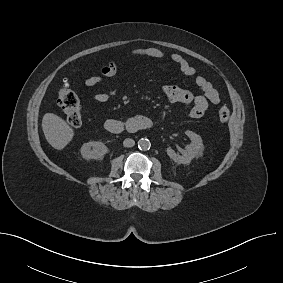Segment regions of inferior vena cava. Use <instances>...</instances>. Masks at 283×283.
I'll return each instance as SVG.
<instances>
[{"label": "inferior vena cava", "mask_w": 283, "mask_h": 283, "mask_svg": "<svg viewBox=\"0 0 283 283\" xmlns=\"http://www.w3.org/2000/svg\"><path fill=\"white\" fill-rule=\"evenodd\" d=\"M135 145V141L131 138H126L124 141H123V146L124 147H133Z\"/></svg>", "instance_id": "obj_1"}]
</instances>
